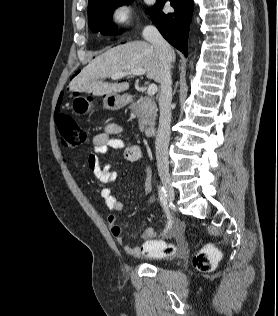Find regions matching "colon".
<instances>
[{"instance_id":"5ec220e1","label":"colon","mask_w":278,"mask_h":316,"mask_svg":"<svg viewBox=\"0 0 278 316\" xmlns=\"http://www.w3.org/2000/svg\"><path fill=\"white\" fill-rule=\"evenodd\" d=\"M56 126L61 143L66 148H76L83 145L87 140V133L69 115L58 114L56 117ZM141 250L145 255L157 257L171 256L176 252L173 244L163 241H148L142 246ZM220 255L219 250L215 246L211 244L206 245L194 255L193 266L198 271L210 272L216 267Z\"/></svg>"}]
</instances>
